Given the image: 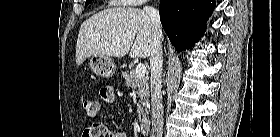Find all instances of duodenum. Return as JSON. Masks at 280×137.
<instances>
[{
	"instance_id": "410a0bca",
	"label": "duodenum",
	"mask_w": 280,
	"mask_h": 137,
	"mask_svg": "<svg viewBox=\"0 0 280 137\" xmlns=\"http://www.w3.org/2000/svg\"><path fill=\"white\" fill-rule=\"evenodd\" d=\"M140 131L143 134H149L151 130V121L149 119H145L140 123Z\"/></svg>"
}]
</instances>
